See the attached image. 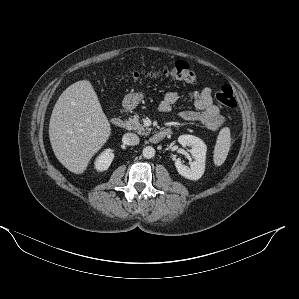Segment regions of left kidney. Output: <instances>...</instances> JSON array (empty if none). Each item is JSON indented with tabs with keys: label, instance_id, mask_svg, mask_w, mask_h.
<instances>
[{
	"label": "left kidney",
	"instance_id": "5707ae66",
	"mask_svg": "<svg viewBox=\"0 0 299 299\" xmlns=\"http://www.w3.org/2000/svg\"><path fill=\"white\" fill-rule=\"evenodd\" d=\"M178 142L183 147H191L190 153L195 159L190 162V167L184 165L181 159H176L175 167L178 173L189 180L200 179L205 170L206 144L200 138L193 135H181L178 138Z\"/></svg>",
	"mask_w": 299,
	"mask_h": 299
}]
</instances>
